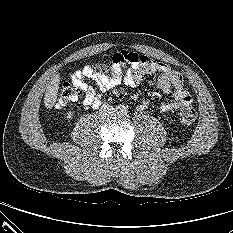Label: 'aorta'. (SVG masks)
<instances>
[{
	"label": "aorta",
	"instance_id": "762f6f07",
	"mask_svg": "<svg viewBox=\"0 0 233 233\" xmlns=\"http://www.w3.org/2000/svg\"><path fill=\"white\" fill-rule=\"evenodd\" d=\"M124 109L123 108H118L117 112L118 114H123Z\"/></svg>",
	"mask_w": 233,
	"mask_h": 233
}]
</instances>
